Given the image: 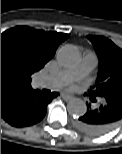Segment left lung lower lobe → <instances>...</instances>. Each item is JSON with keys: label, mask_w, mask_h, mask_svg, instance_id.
<instances>
[{"label": "left lung lower lobe", "mask_w": 122, "mask_h": 154, "mask_svg": "<svg viewBox=\"0 0 122 154\" xmlns=\"http://www.w3.org/2000/svg\"><path fill=\"white\" fill-rule=\"evenodd\" d=\"M90 100L96 102V98L90 97ZM120 120H122V89L111 92L95 109H91L89 104L87 112L75 121V126L86 134L97 136L111 131Z\"/></svg>", "instance_id": "1"}]
</instances>
